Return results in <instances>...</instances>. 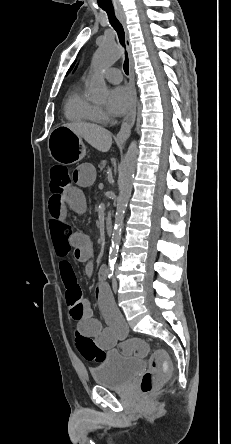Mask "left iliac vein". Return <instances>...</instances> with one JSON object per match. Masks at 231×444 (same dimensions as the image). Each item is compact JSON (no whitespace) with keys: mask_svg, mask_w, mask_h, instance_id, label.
<instances>
[{"mask_svg":"<svg viewBox=\"0 0 231 444\" xmlns=\"http://www.w3.org/2000/svg\"><path fill=\"white\" fill-rule=\"evenodd\" d=\"M112 287H113V290L116 292L117 288H118V284H117L116 279H113Z\"/></svg>","mask_w":231,"mask_h":444,"instance_id":"left-iliac-vein-1","label":"left iliac vein"}]
</instances>
